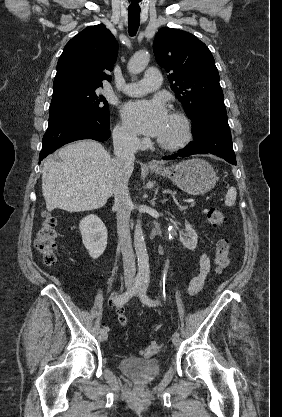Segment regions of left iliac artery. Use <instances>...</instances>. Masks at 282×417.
<instances>
[{"label": "left iliac artery", "mask_w": 282, "mask_h": 417, "mask_svg": "<svg viewBox=\"0 0 282 417\" xmlns=\"http://www.w3.org/2000/svg\"><path fill=\"white\" fill-rule=\"evenodd\" d=\"M148 284H149V279L148 278H145L144 280H143V286H142V288L140 289V292H139V297H140V300L144 303V304H146V305H148V306H156L159 302L156 300V301H153V300H151L150 298H148V296L146 295V291H147V288H148ZM174 336H179V333L178 332H175L174 333Z\"/></svg>", "instance_id": "obj_1"}]
</instances>
